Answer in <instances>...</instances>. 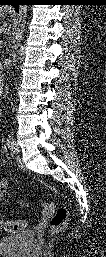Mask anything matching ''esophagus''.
Instances as JSON below:
<instances>
[{
	"label": "esophagus",
	"mask_w": 106,
	"mask_h": 257,
	"mask_svg": "<svg viewBox=\"0 0 106 257\" xmlns=\"http://www.w3.org/2000/svg\"><path fill=\"white\" fill-rule=\"evenodd\" d=\"M6 9H7V10H10V9H11V7H6Z\"/></svg>",
	"instance_id": "34e87169"
}]
</instances>
